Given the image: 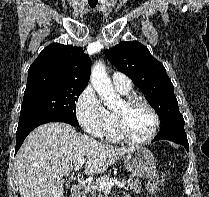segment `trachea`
<instances>
[{
    "instance_id": "3493384b",
    "label": "trachea",
    "mask_w": 209,
    "mask_h": 197,
    "mask_svg": "<svg viewBox=\"0 0 209 197\" xmlns=\"http://www.w3.org/2000/svg\"><path fill=\"white\" fill-rule=\"evenodd\" d=\"M88 3L91 8H95L98 3V0H89Z\"/></svg>"
}]
</instances>
